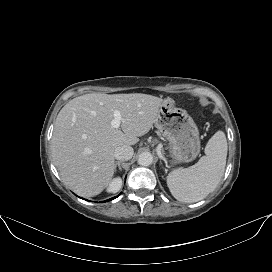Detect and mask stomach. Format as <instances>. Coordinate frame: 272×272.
<instances>
[{
  "label": "stomach",
  "mask_w": 272,
  "mask_h": 272,
  "mask_svg": "<svg viewBox=\"0 0 272 272\" xmlns=\"http://www.w3.org/2000/svg\"><path fill=\"white\" fill-rule=\"evenodd\" d=\"M156 128L170 142V154L178 163L193 161L200 152L199 130L188 113L173 100L161 104L155 118Z\"/></svg>",
  "instance_id": "stomach-1"
}]
</instances>
